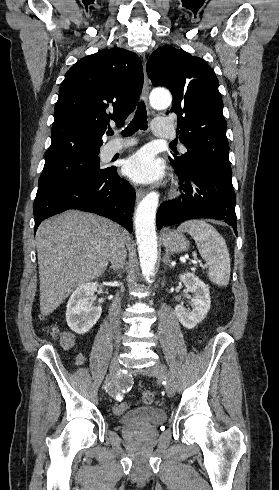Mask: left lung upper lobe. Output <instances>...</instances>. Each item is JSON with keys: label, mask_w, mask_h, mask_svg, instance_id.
<instances>
[{"label": "left lung upper lobe", "mask_w": 279, "mask_h": 490, "mask_svg": "<svg viewBox=\"0 0 279 490\" xmlns=\"http://www.w3.org/2000/svg\"><path fill=\"white\" fill-rule=\"evenodd\" d=\"M146 68L152 84L169 88L173 95L171 112L177 114L179 139L187 148L182 156L169 157L173 167L184 172L209 163L231 171L227 123L213 69L203 59L170 45L154 51Z\"/></svg>", "instance_id": "left-lung-upper-lobe-1"}]
</instances>
